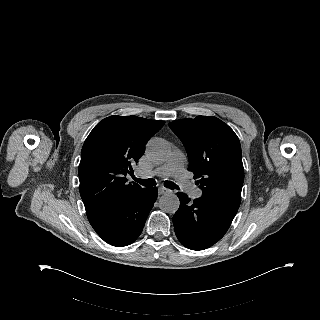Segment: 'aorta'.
Instances as JSON below:
<instances>
[{
	"label": "aorta",
	"instance_id": "762f6f07",
	"mask_svg": "<svg viewBox=\"0 0 320 320\" xmlns=\"http://www.w3.org/2000/svg\"><path fill=\"white\" fill-rule=\"evenodd\" d=\"M170 145L162 139H152L146 146V155L153 162H164L170 155ZM160 208L166 213H175L180 205L179 198L173 193L161 196Z\"/></svg>",
	"mask_w": 320,
	"mask_h": 320
}]
</instances>
